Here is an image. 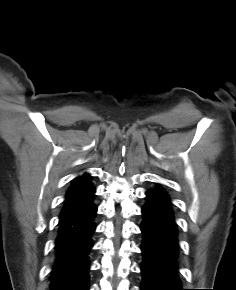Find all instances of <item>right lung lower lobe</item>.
Returning a JSON list of instances; mask_svg holds the SVG:
<instances>
[{
    "label": "right lung lower lobe",
    "mask_w": 236,
    "mask_h": 290,
    "mask_svg": "<svg viewBox=\"0 0 236 290\" xmlns=\"http://www.w3.org/2000/svg\"><path fill=\"white\" fill-rule=\"evenodd\" d=\"M93 199L60 214L50 290H89V255L97 212Z\"/></svg>",
    "instance_id": "1"
}]
</instances>
